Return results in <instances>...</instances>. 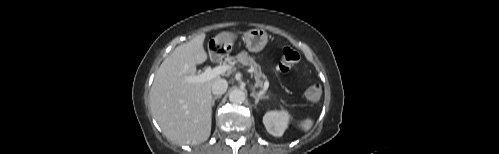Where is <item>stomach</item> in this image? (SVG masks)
<instances>
[{
	"label": "stomach",
	"mask_w": 499,
	"mask_h": 154,
	"mask_svg": "<svg viewBox=\"0 0 499 154\" xmlns=\"http://www.w3.org/2000/svg\"><path fill=\"white\" fill-rule=\"evenodd\" d=\"M234 38V34L224 32L215 37V42L220 48L227 49L232 45ZM243 39L249 51L260 52L267 45L268 34L263 29H252L244 33Z\"/></svg>",
	"instance_id": "0dacf381"
}]
</instances>
